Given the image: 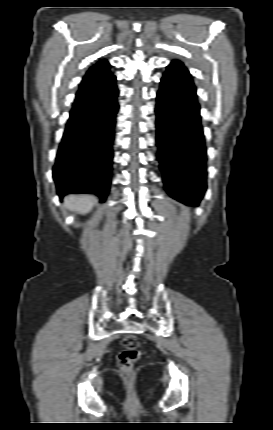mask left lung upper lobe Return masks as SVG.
<instances>
[{
    "label": "left lung upper lobe",
    "instance_id": "5c2ea615",
    "mask_svg": "<svg viewBox=\"0 0 273 430\" xmlns=\"http://www.w3.org/2000/svg\"><path fill=\"white\" fill-rule=\"evenodd\" d=\"M172 68L186 71L188 75H187V78H186V84H185V85H186L188 88L196 89V88H195V85H194V83H193V81H192V78H191V75H190L189 71L184 67V65H183V63H182V62H180V61H178V60H173V61L170 63V65L167 67V71H169V70H170V69H172ZM167 71H166V72H167Z\"/></svg>",
    "mask_w": 273,
    "mask_h": 430
}]
</instances>
